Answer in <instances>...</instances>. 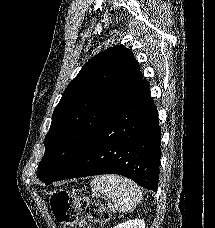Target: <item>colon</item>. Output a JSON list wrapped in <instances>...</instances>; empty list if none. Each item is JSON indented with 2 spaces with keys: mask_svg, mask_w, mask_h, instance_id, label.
Instances as JSON below:
<instances>
[{
  "mask_svg": "<svg viewBox=\"0 0 215 228\" xmlns=\"http://www.w3.org/2000/svg\"><path fill=\"white\" fill-rule=\"evenodd\" d=\"M51 206L56 220L69 228H100L109 221V210L101 202H90L79 197L74 202L66 192H57L51 197ZM81 210L88 213L90 224L79 221Z\"/></svg>",
  "mask_w": 215,
  "mask_h": 228,
  "instance_id": "5ec220e1",
  "label": "colon"
}]
</instances>
